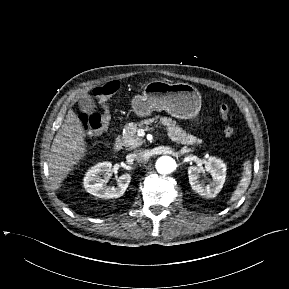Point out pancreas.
<instances>
[{"mask_svg":"<svg viewBox=\"0 0 289 289\" xmlns=\"http://www.w3.org/2000/svg\"><path fill=\"white\" fill-rule=\"evenodd\" d=\"M158 119L159 116H156L155 118L145 119L138 123L131 122L126 124L122 136L123 145L130 150L141 146L144 141L137 135V130L156 122ZM159 123L166 126L167 135L172 141L178 144L194 145L202 142V140L198 139L197 137L187 134L186 131L176 125V122L171 118L160 117Z\"/></svg>","mask_w":289,"mask_h":289,"instance_id":"1","label":"pancreas"}]
</instances>
